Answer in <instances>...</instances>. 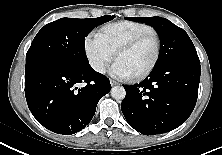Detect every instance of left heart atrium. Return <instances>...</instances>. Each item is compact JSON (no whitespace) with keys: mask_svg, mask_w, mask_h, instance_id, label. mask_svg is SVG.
Returning <instances> with one entry per match:
<instances>
[{"mask_svg":"<svg viewBox=\"0 0 222 155\" xmlns=\"http://www.w3.org/2000/svg\"><path fill=\"white\" fill-rule=\"evenodd\" d=\"M110 73L112 76L120 79H126L132 77V74L127 69V67L118 59L112 65Z\"/></svg>","mask_w":222,"mask_h":155,"instance_id":"obj_1","label":"left heart atrium"}]
</instances>
